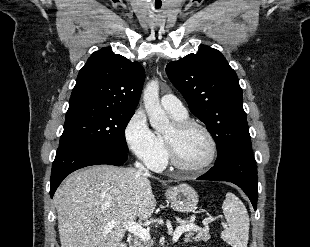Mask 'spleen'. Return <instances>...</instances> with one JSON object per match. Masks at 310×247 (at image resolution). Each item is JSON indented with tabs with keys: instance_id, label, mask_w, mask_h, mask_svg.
Wrapping results in <instances>:
<instances>
[{
	"instance_id": "obj_1",
	"label": "spleen",
	"mask_w": 310,
	"mask_h": 247,
	"mask_svg": "<svg viewBox=\"0 0 310 247\" xmlns=\"http://www.w3.org/2000/svg\"><path fill=\"white\" fill-rule=\"evenodd\" d=\"M222 210L227 220V227L221 238L232 247H247L249 238V215L243 202L233 193L228 192Z\"/></svg>"
}]
</instances>
